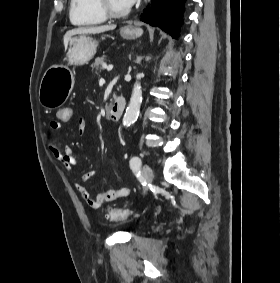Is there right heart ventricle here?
I'll list each match as a JSON object with an SVG mask.
<instances>
[{
	"instance_id": "1",
	"label": "right heart ventricle",
	"mask_w": 280,
	"mask_h": 283,
	"mask_svg": "<svg viewBox=\"0 0 280 283\" xmlns=\"http://www.w3.org/2000/svg\"><path fill=\"white\" fill-rule=\"evenodd\" d=\"M69 17L77 26L100 24L106 20L95 0H70Z\"/></svg>"
}]
</instances>
